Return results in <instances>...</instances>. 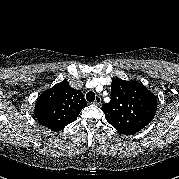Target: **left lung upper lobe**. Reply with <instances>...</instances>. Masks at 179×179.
Returning a JSON list of instances; mask_svg holds the SVG:
<instances>
[{
  "label": "left lung upper lobe",
  "mask_w": 179,
  "mask_h": 179,
  "mask_svg": "<svg viewBox=\"0 0 179 179\" xmlns=\"http://www.w3.org/2000/svg\"><path fill=\"white\" fill-rule=\"evenodd\" d=\"M108 123L121 134H134L147 126L157 110V98L143 84L114 78L111 100L102 106Z\"/></svg>",
  "instance_id": "1"
}]
</instances>
